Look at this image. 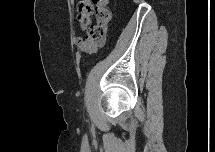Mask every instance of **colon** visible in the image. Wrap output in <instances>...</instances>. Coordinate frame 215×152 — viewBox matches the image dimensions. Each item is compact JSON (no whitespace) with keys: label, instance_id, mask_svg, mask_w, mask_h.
<instances>
[{"label":"colon","instance_id":"5ec220e1","mask_svg":"<svg viewBox=\"0 0 215 152\" xmlns=\"http://www.w3.org/2000/svg\"><path fill=\"white\" fill-rule=\"evenodd\" d=\"M95 14L96 23L92 22ZM112 18L107 0H81L78 3V21L87 29L79 44L83 51L92 52L102 47L106 41V29Z\"/></svg>","mask_w":215,"mask_h":152}]
</instances>
